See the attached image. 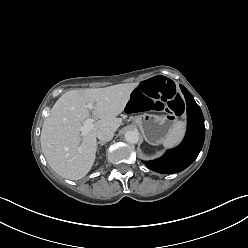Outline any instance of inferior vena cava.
<instances>
[{"label":"inferior vena cava","instance_id":"602c4592","mask_svg":"<svg viewBox=\"0 0 248 248\" xmlns=\"http://www.w3.org/2000/svg\"><path fill=\"white\" fill-rule=\"evenodd\" d=\"M114 131L108 127L101 128L97 132V138L102 142H108L112 140Z\"/></svg>","mask_w":248,"mask_h":248}]
</instances>
